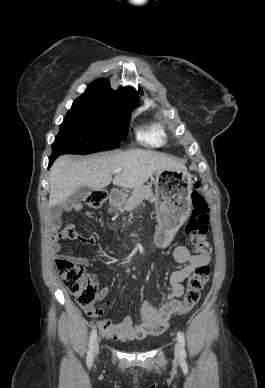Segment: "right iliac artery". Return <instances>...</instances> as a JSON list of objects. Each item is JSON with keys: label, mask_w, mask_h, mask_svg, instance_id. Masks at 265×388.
<instances>
[{"label": "right iliac artery", "mask_w": 265, "mask_h": 388, "mask_svg": "<svg viewBox=\"0 0 265 388\" xmlns=\"http://www.w3.org/2000/svg\"><path fill=\"white\" fill-rule=\"evenodd\" d=\"M96 336H97V330H96V328H94L91 335H90L89 349H88L87 358H86V362H87L88 366H91L93 363V357H94L93 347H94Z\"/></svg>", "instance_id": "right-iliac-artery-1"}]
</instances>
